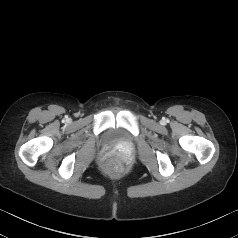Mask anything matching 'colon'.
Listing matches in <instances>:
<instances>
[{
    "label": "colon",
    "mask_w": 238,
    "mask_h": 238,
    "mask_svg": "<svg viewBox=\"0 0 238 238\" xmlns=\"http://www.w3.org/2000/svg\"><path fill=\"white\" fill-rule=\"evenodd\" d=\"M110 171L114 175H120L123 173L124 167L121 163H119L117 161H112L110 163Z\"/></svg>",
    "instance_id": "obj_1"
}]
</instances>
